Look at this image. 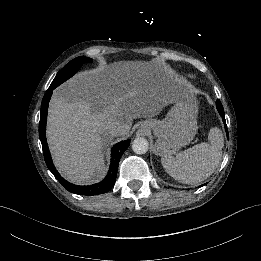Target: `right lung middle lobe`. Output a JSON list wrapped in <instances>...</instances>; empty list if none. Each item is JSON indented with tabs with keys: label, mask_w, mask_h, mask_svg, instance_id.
<instances>
[{
	"label": "right lung middle lobe",
	"mask_w": 261,
	"mask_h": 261,
	"mask_svg": "<svg viewBox=\"0 0 261 261\" xmlns=\"http://www.w3.org/2000/svg\"><path fill=\"white\" fill-rule=\"evenodd\" d=\"M92 59L84 56H79L71 60L67 65H65L56 75L52 81L49 89H55L61 83L72 77L79 68L85 63H91Z\"/></svg>",
	"instance_id": "right-lung-middle-lobe-1"
}]
</instances>
